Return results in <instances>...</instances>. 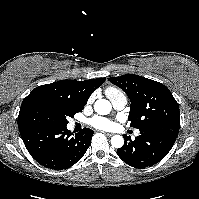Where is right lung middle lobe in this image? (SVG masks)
<instances>
[{"label": "right lung middle lobe", "instance_id": "dd1d6c3e", "mask_svg": "<svg viewBox=\"0 0 199 199\" xmlns=\"http://www.w3.org/2000/svg\"><path fill=\"white\" fill-rule=\"evenodd\" d=\"M82 108H75L57 99L45 104L28 105L18 116V127L66 126L67 117H73Z\"/></svg>", "mask_w": 199, "mask_h": 199}]
</instances>
